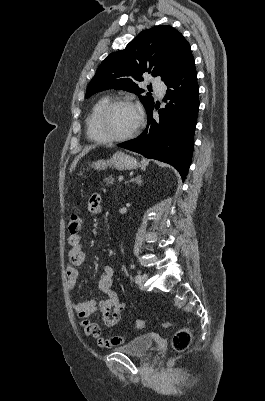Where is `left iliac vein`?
Listing matches in <instances>:
<instances>
[{"label": "left iliac vein", "mask_w": 265, "mask_h": 401, "mask_svg": "<svg viewBox=\"0 0 265 401\" xmlns=\"http://www.w3.org/2000/svg\"><path fill=\"white\" fill-rule=\"evenodd\" d=\"M139 278H140V286L142 287V288H144V285H143V283L145 282V280L147 279V275L146 274H141V275H139Z\"/></svg>", "instance_id": "4c4485c4"}]
</instances>
